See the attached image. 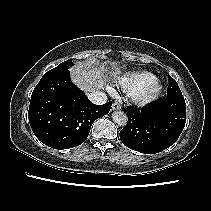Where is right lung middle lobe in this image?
<instances>
[{
  "label": "right lung middle lobe",
  "mask_w": 211,
  "mask_h": 211,
  "mask_svg": "<svg viewBox=\"0 0 211 211\" xmlns=\"http://www.w3.org/2000/svg\"><path fill=\"white\" fill-rule=\"evenodd\" d=\"M72 60H67L61 64H59L57 67H55L54 69L46 72L44 74V76L41 78L42 79H46V78H49V77H53V76H56V75H59V74H62V73H65V72H68V68L69 66L72 65L71 63Z\"/></svg>",
  "instance_id": "dd1d6c3e"
}]
</instances>
